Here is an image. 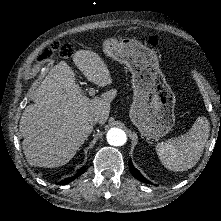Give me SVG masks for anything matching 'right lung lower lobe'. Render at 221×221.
I'll return each instance as SVG.
<instances>
[{
	"label": "right lung lower lobe",
	"mask_w": 221,
	"mask_h": 221,
	"mask_svg": "<svg viewBox=\"0 0 221 221\" xmlns=\"http://www.w3.org/2000/svg\"><path fill=\"white\" fill-rule=\"evenodd\" d=\"M84 170H85V168H82L81 170H79V171L77 172V174H76L75 176L70 177V178H67V179H64V180H62L61 182H59L58 184H59V185H62V184H68V183H70V182L73 181L75 178H77L78 176H80V175L84 172Z\"/></svg>",
	"instance_id": "right-lung-lower-lobe-1"
}]
</instances>
